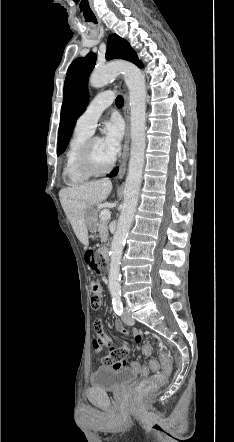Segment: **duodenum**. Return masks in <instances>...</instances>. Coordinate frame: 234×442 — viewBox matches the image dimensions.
I'll list each match as a JSON object with an SVG mask.
<instances>
[{"label": "duodenum", "mask_w": 234, "mask_h": 442, "mask_svg": "<svg viewBox=\"0 0 234 442\" xmlns=\"http://www.w3.org/2000/svg\"><path fill=\"white\" fill-rule=\"evenodd\" d=\"M100 255H101L102 259L108 264L109 260H110L109 249L106 247L101 248Z\"/></svg>", "instance_id": "duodenum-1"}]
</instances>
